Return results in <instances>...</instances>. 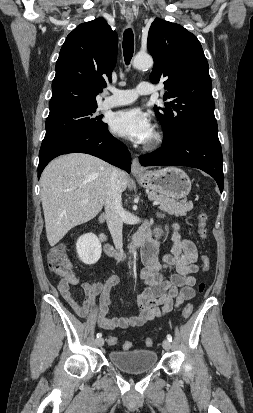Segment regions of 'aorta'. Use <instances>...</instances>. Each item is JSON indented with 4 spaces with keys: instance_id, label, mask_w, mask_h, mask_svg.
<instances>
[{
    "instance_id": "762f6f07",
    "label": "aorta",
    "mask_w": 253,
    "mask_h": 413,
    "mask_svg": "<svg viewBox=\"0 0 253 413\" xmlns=\"http://www.w3.org/2000/svg\"><path fill=\"white\" fill-rule=\"evenodd\" d=\"M132 64L136 69H146L153 66V59L148 54H137L134 57Z\"/></svg>"
}]
</instances>
